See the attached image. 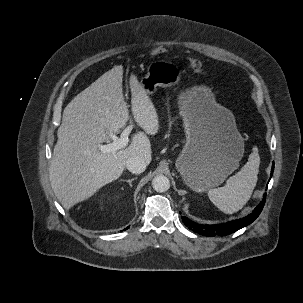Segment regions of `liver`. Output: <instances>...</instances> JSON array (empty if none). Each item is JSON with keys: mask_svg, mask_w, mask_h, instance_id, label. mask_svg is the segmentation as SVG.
<instances>
[{"mask_svg": "<svg viewBox=\"0 0 303 303\" xmlns=\"http://www.w3.org/2000/svg\"><path fill=\"white\" fill-rule=\"evenodd\" d=\"M122 78L123 66L113 67L73 98L63 111L49 179L54 194L66 210L117 180L129 158L139 156L148 164L151 161V144L146 134L158 132V115L134 74L129 80L132 113L146 134L138 132L127 148L114 153H102L98 149L129 120Z\"/></svg>", "mask_w": 303, "mask_h": 303, "instance_id": "1", "label": "liver"}]
</instances>
